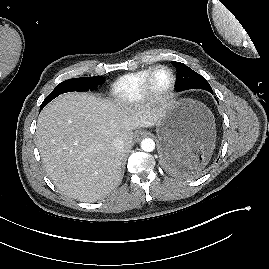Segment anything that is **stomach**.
<instances>
[{"label": "stomach", "mask_w": 269, "mask_h": 269, "mask_svg": "<svg viewBox=\"0 0 269 269\" xmlns=\"http://www.w3.org/2000/svg\"><path fill=\"white\" fill-rule=\"evenodd\" d=\"M160 155L174 144L181 153L180 167L196 168L207 162L215 148V121L211 111L192 99L171 100L156 125Z\"/></svg>", "instance_id": "stomach-1"}]
</instances>
